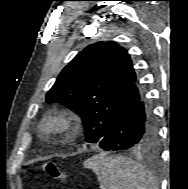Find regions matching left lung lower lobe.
I'll return each instance as SVG.
<instances>
[{"mask_svg": "<svg viewBox=\"0 0 188 189\" xmlns=\"http://www.w3.org/2000/svg\"><path fill=\"white\" fill-rule=\"evenodd\" d=\"M156 134L152 109L142 96L117 120L99 146L105 150H135L152 144Z\"/></svg>", "mask_w": 188, "mask_h": 189, "instance_id": "1", "label": "left lung lower lobe"}]
</instances>
